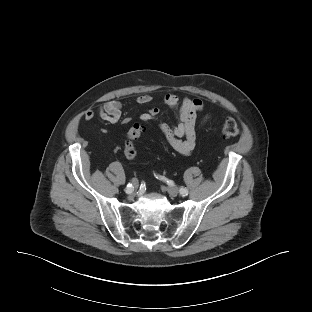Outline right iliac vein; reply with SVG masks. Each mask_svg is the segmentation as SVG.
<instances>
[{
	"mask_svg": "<svg viewBox=\"0 0 312 312\" xmlns=\"http://www.w3.org/2000/svg\"><path fill=\"white\" fill-rule=\"evenodd\" d=\"M138 185H139L138 180H137V179H134V180H133V187L137 188ZM129 194H131V193H129Z\"/></svg>",
	"mask_w": 312,
	"mask_h": 312,
	"instance_id": "63e3f726",
	"label": "right iliac vein"
}]
</instances>
